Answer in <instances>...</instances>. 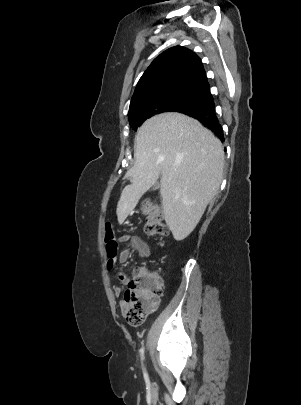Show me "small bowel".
I'll return each instance as SVG.
<instances>
[{
    "label": "small bowel",
    "instance_id": "1",
    "mask_svg": "<svg viewBox=\"0 0 301 405\" xmlns=\"http://www.w3.org/2000/svg\"><path fill=\"white\" fill-rule=\"evenodd\" d=\"M119 243H129V248L124 249L120 252H117L114 257H109L107 261L108 269H112L117 262L120 264L126 263L132 256V253H137L140 257H148L151 254L148 244L139 236L135 235H123L118 239ZM119 280L122 284H128L130 278L123 274L119 273ZM116 296H121L122 288L119 285L114 286L113 288Z\"/></svg>",
    "mask_w": 301,
    "mask_h": 405
}]
</instances>
